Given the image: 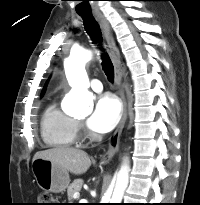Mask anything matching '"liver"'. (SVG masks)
<instances>
[{"mask_svg":"<svg viewBox=\"0 0 200 205\" xmlns=\"http://www.w3.org/2000/svg\"><path fill=\"white\" fill-rule=\"evenodd\" d=\"M38 158L50 160L75 175L85 173L91 166L90 157L86 152L69 147H55L36 152L33 160Z\"/></svg>","mask_w":200,"mask_h":205,"instance_id":"obj_1","label":"liver"}]
</instances>
